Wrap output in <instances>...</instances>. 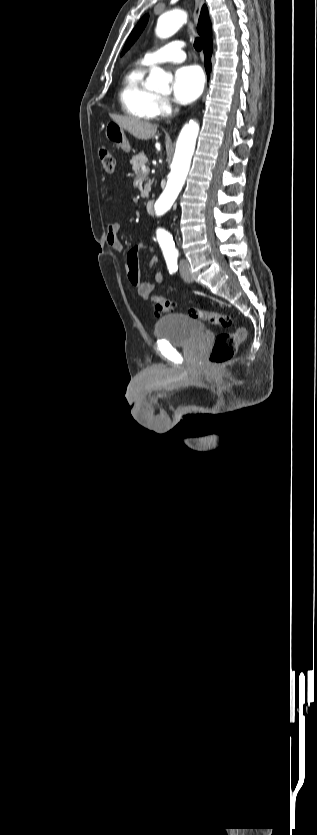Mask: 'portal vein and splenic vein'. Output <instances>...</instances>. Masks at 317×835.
Wrapping results in <instances>:
<instances>
[{"mask_svg":"<svg viewBox=\"0 0 317 835\" xmlns=\"http://www.w3.org/2000/svg\"><path fill=\"white\" fill-rule=\"evenodd\" d=\"M141 170H142L143 172H146V171H149V168H148V167H146V166L144 165V166H142Z\"/></svg>","mask_w":317,"mask_h":835,"instance_id":"1","label":"portal vein and splenic vein"}]
</instances>
